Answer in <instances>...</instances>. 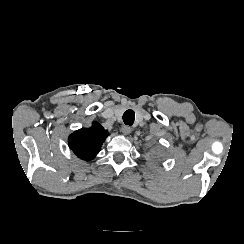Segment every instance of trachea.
<instances>
[{"instance_id": "obj_1", "label": "trachea", "mask_w": 244, "mask_h": 244, "mask_svg": "<svg viewBox=\"0 0 244 244\" xmlns=\"http://www.w3.org/2000/svg\"><path fill=\"white\" fill-rule=\"evenodd\" d=\"M123 122L126 124V125H133L134 123V120H135V113L132 111V110H127L124 114H123Z\"/></svg>"}]
</instances>
